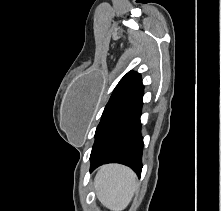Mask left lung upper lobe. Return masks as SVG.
Returning <instances> with one entry per match:
<instances>
[{
	"label": "left lung upper lobe",
	"instance_id": "1",
	"mask_svg": "<svg viewBox=\"0 0 221 211\" xmlns=\"http://www.w3.org/2000/svg\"><path fill=\"white\" fill-rule=\"evenodd\" d=\"M144 89L141 76L137 72H128L115 87L95 132V141L102 134L110 121Z\"/></svg>",
	"mask_w": 221,
	"mask_h": 211
}]
</instances>
